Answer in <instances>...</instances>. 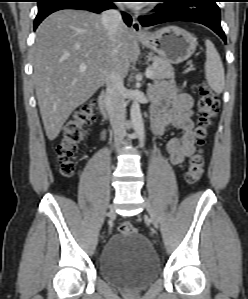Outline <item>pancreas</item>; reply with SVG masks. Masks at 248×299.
Returning <instances> with one entry per match:
<instances>
[{"mask_svg":"<svg viewBox=\"0 0 248 299\" xmlns=\"http://www.w3.org/2000/svg\"><path fill=\"white\" fill-rule=\"evenodd\" d=\"M153 64L149 67L152 70V80L169 78L174 82V69L172 65L161 57L154 56Z\"/></svg>","mask_w":248,"mask_h":299,"instance_id":"pancreas-1","label":"pancreas"}]
</instances>
